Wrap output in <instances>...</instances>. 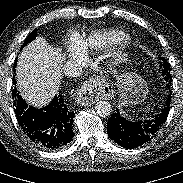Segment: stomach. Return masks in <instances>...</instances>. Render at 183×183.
Returning <instances> with one entry per match:
<instances>
[{"mask_svg":"<svg viewBox=\"0 0 183 183\" xmlns=\"http://www.w3.org/2000/svg\"><path fill=\"white\" fill-rule=\"evenodd\" d=\"M119 62L127 61L126 55H119ZM122 105H136L143 102L148 94L147 84L135 73H123L117 77Z\"/></svg>","mask_w":183,"mask_h":183,"instance_id":"obj_1","label":"stomach"}]
</instances>
